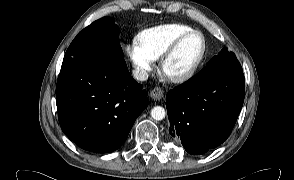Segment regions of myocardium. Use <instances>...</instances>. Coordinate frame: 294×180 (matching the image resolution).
Returning a JSON list of instances; mask_svg holds the SVG:
<instances>
[{
    "instance_id": "1",
    "label": "myocardium",
    "mask_w": 294,
    "mask_h": 180,
    "mask_svg": "<svg viewBox=\"0 0 294 180\" xmlns=\"http://www.w3.org/2000/svg\"><path fill=\"white\" fill-rule=\"evenodd\" d=\"M197 35L200 37L201 42H202V48L193 62V64L190 66V68L185 71L183 74L178 75V76H168L164 73V67L166 63L171 59V57L176 53L178 48L181 46V44L186 41L188 38L191 36ZM206 50H207V43H206V38L204 34L201 31L198 30H191L183 35H181L179 38H177L162 54V56L159 59V71L160 73L170 82L175 83V84H182L190 80L194 74L196 73L198 67L202 63V61L205 58L206 55Z\"/></svg>"
}]
</instances>
